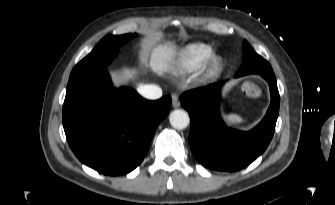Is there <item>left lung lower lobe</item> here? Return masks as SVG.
Listing matches in <instances>:
<instances>
[{
    "label": "left lung lower lobe",
    "mask_w": 335,
    "mask_h": 205,
    "mask_svg": "<svg viewBox=\"0 0 335 205\" xmlns=\"http://www.w3.org/2000/svg\"><path fill=\"white\" fill-rule=\"evenodd\" d=\"M269 84L271 103L262 121L248 132L228 128L221 119L218 99L224 84L218 82L180 96L191 119L189 144L195 158L205 167L238 171L252 163L268 147L279 114L280 96L275 75H261ZM235 77H240L235 74Z\"/></svg>",
    "instance_id": "obj_1"
}]
</instances>
